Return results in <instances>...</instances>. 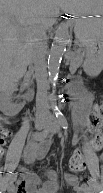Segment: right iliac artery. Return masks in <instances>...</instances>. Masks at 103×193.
I'll list each match as a JSON object with an SVG mask.
<instances>
[{
  "label": "right iliac artery",
  "mask_w": 103,
  "mask_h": 193,
  "mask_svg": "<svg viewBox=\"0 0 103 193\" xmlns=\"http://www.w3.org/2000/svg\"><path fill=\"white\" fill-rule=\"evenodd\" d=\"M48 133H49V132H48L47 130H43V131H41V132H37V133L35 134V136H34V139H35L36 141H41V140H43V139H45V138L47 137ZM16 177H17V173H13V174L11 175V181L15 180Z\"/></svg>",
  "instance_id": "right-iliac-artery-1"
}]
</instances>
